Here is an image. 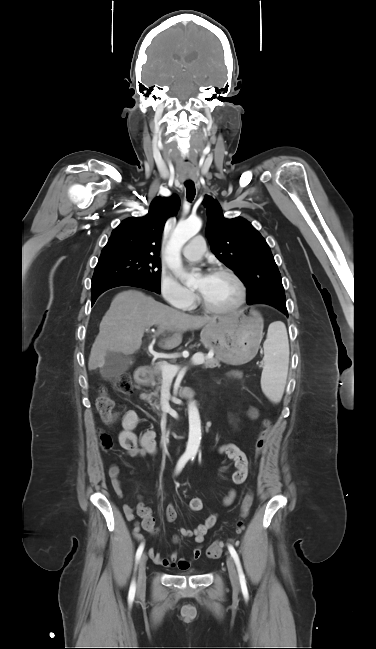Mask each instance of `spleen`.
<instances>
[{
  "instance_id": "1",
  "label": "spleen",
  "mask_w": 376,
  "mask_h": 649,
  "mask_svg": "<svg viewBox=\"0 0 376 649\" xmlns=\"http://www.w3.org/2000/svg\"><path fill=\"white\" fill-rule=\"evenodd\" d=\"M263 348L261 388L271 401L278 403L284 393L289 363L288 337L282 323L275 322L270 325Z\"/></svg>"
}]
</instances>
